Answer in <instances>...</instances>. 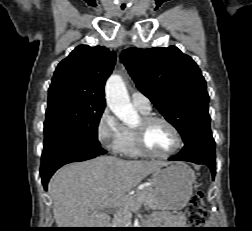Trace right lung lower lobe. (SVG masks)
<instances>
[{
    "mask_svg": "<svg viewBox=\"0 0 252 231\" xmlns=\"http://www.w3.org/2000/svg\"><path fill=\"white\" fill-rule=\"evenodd\" d=\"M105 153L106 151L100 146L75 142L61 143L43 150L40 174L44 188H47L50 177L61 166L92 159Z\"/></svg>",
    "mask_w": 252,
    "mask_h": 231,
    "instance_id": "right-lung-lower-lobe-1",
    "label": "right lung lower lobe"
}]
</instances>
